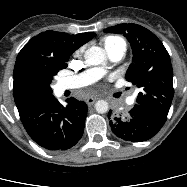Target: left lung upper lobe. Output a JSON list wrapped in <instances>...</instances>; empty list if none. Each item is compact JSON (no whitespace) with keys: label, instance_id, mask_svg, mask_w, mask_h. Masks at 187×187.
I'll return each mask as SVG.
<instances>
[{"label":"left lung upper lobe","instance_id":"obj_1","mask_svg":"<svg viewBox=\"0 0 187 187\" xmlns=\"http://www.w3.org/2000/svg\"><path fill=\"white\" fill-rule=\"evenodd\" d=\"M104 31L123 34L131 44L133 60L126 80L140 90L137 104L168 115L174 95L173 69L162 42L148 29L133 23L111 26Z\"/></svg>","mask_w":187,"mask_h":187}]
</instances>
